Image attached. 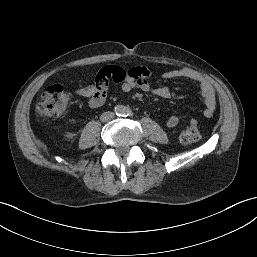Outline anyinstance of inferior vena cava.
<instances>
[{
	"label": "inferior vena cava",
	"instance_id": "1",
	"mask_svg": "<svg viewBox=\"0 0 257 257\" xmlns=\"http://www.w3.org/2000/svg\"><path fill=\"white\" fill-rule=\"evenodd\" d=\"M113 117H114V113L108 111V112H104V113L101 115L100 120H101L102 122H107V121L113 119Z\"/></svg>",
	"mask_w": 257,
	"mask_h": 257
}]
</instances>
